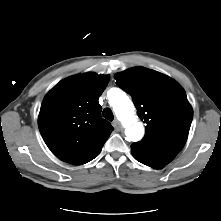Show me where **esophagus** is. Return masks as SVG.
Here are the masks:
<instances>
[{"mask_svg": "<svg viewBox=\"0 0 221 221\" xmlns=\"http://www.w3.org/2000/svg\"><path fill=\"white\" fill-rule=\"evenodd\" d=\"M113 127L116 129V130H120L121 128V123L119 122V120L115 119L113 121Z\"/></svg>", "mask_w": 221, "mask_h": 221, "instance_id": "esophagus-1", "label": "esophagus"}]
</instances>
